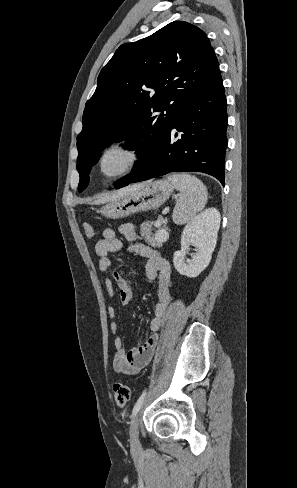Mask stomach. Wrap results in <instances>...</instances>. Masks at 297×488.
I'll use <instances>...</instances> for the list:
<instances>
[{"instance_id":"obj_1","label":"stomach","mask_w":297,"mask_h":488,"mask_svg":"<svg viewBox=\"0 0 297 488\" xmlns=\"http://www.w3.org/2000/svg\"><path fill=\"white\" fill-rule=\"evenodd\" d=\"M173 188L169 180H157L108 202L99 209V213L108 219H119L158 208L169 198Z\"/></svg>"}]
</instances>
